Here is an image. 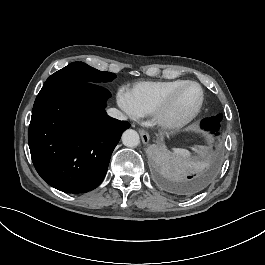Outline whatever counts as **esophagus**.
Instances as JSON below:
<instances>
[{
    "mask_svg": "<svg viewBox=\"0 0 265 265\" xmlns=\"http://www.w3.org/2000/svg\"><path fill=\"white\" fill-rule=\"evenodd\" d=\"M139 134L141 136L142 142L144 144H148L149 140H150V136H149L148 132L144 129H139Z\"/></svg>",
    "mask_w": 265,
    "mask_h": 265,
    "instance_id": "34e87169",
    "label": "esophagus"
}]
</instances>
